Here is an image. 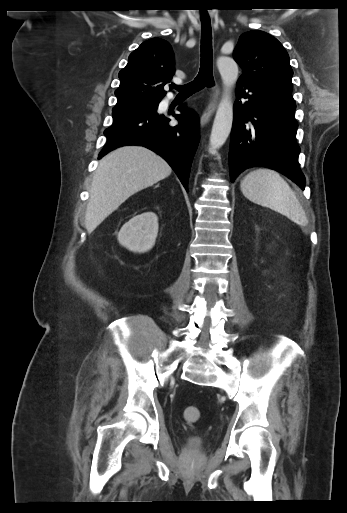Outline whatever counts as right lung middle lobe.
Here are the masks:
<instances>
[{
    "label": "right lung middle lobe",
    "instance_id": "dd1d6c3e",
    "mask_svg": "<svg viewBox=\"0 0 347 513\" xmlns=\"http://www.w3.org/2000/svg\"><path fill=\"white\" fill-rule=\"evenodd\" d=\"M158 104V100H146L132 105L115 106L112 110L113 116L139 111L153 110L158 107Z\"/></svg>",
    "mask_w": 347,
    "mask_h": 513
}]
</instances>
